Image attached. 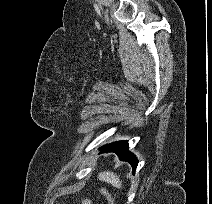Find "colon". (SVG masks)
<instances>
[{"instance_id": "colon-1", "label": "colon", "mask_w": 212, "mask_h": 204, "mask_svg": "<svg viewBox=\"0 0 212 204\" xmlns=\"http://www.w3.org/2000/svg\"><path fill=\"white\" fill-rule=\"evenodd\" d=\"M100 193L103 195V197L106 199L107 203L108 204H114V199H113V196L111 195V193L105 189V188H100ZM82 204H92L91 200L90 199H84L82 201Z\"/></svg>"}]
</instances>
